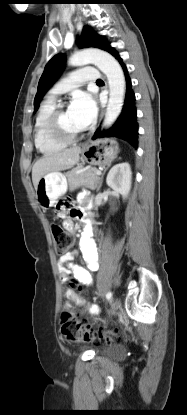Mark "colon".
Here are the masks:
<instances>
[{
  "label": "colon",
  "instance_id": "5ec220e1",
  "mask_svg": "<svg viewBox=\"0 0 187 415\" xmlns=\"http://www.w3.org/2000/svg\"><path fill=\"white\" fill-rule=\"evenodd\" d=\"M51 231L55 242L56 254L63 256L69 253L75 243L74 237L60 224H53ZM78 287L80 288V286ZM60 334L69 341L94 340L97 342H109L120 339L122 330L116 327L112 330L93 331L90 327L81 324L75 313L65 311L61 316Z\"/></svg>",
  "mask_w": 187,
  "mask_h": 415
}]
</instances>
